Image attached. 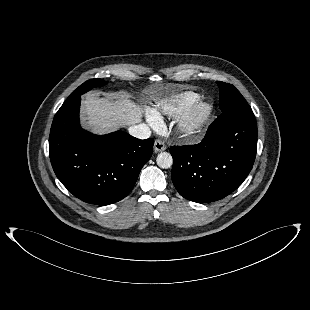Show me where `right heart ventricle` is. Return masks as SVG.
<instances>
[{"mask_svg":"<svg viewBox=\"0 0 310 310\" xmlns=\"http://www.w3.org/2000/svg\"><path fill=\"white\" fill-rule=\"evenodd\" d=\"M198 99L200 96L195 92H179L159 101L156 107L150 111V115L156 118H160L162 115L177 116Z\"/></svg>","mask_w":310,"mask_h":310,"instance_id":"1","label":"right heart ventricle"}]
</instances>
